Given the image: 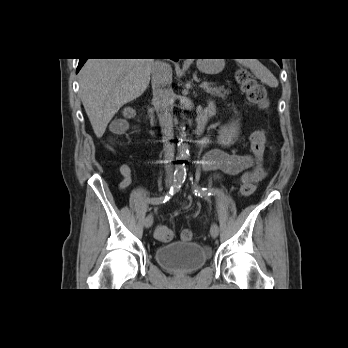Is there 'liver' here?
<instances>
[{
	"label": "liver",
	"instance_id": "obj_1",
	"mask_svg": "<svg viewBox=\"0 0 348 348\" xmlns=\"http://www.w3.org/2000/svg\"><path fill=\"white\" fill-rule=\"evenodd\" d=\"M154 59H88L79 72V93L95 135L101 138L118 110L140 97Z\"/></svg>",
	"mask_w": 348,
	"mask_h": 348
}]
</instances>
